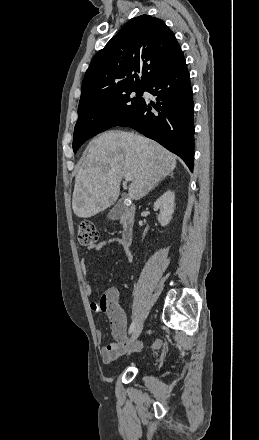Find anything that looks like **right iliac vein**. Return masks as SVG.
Here are the masks:
<instances>
[{
	"mask_svg": "<svg viewBox=\"0 0 259 440\" xmlns=\"http://www.w3.org/2000/svg\"><path fill=\"white\" fill-rule=\"evenodd\" d=\"M142 329H143V321L140 320V321L135 325V328H134V330H133V333H132V337H131L130 343H133V342L139 337V335H140Z\"/></svg>",
	"mask_w": 259,
	"mask_h": 440,
	"instance_id": "63e3f726",
	"label": "right iliac vein"
}]
</instances>
